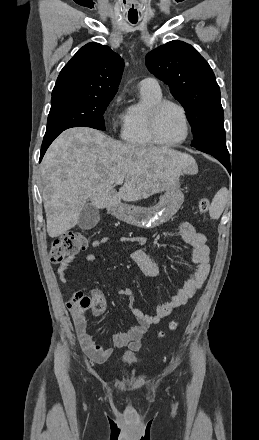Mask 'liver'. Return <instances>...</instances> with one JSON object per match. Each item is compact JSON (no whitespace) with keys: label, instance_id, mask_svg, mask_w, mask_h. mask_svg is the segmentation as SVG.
<instances>
[{"label":"liver","instance_id":"obj_1","mask_svg":"<svg viewBox=\"0 0 259 440\" xmlns=\"http://www.w3.org/2000/svg\"><path fill=\"white\" fill-rule=\"evenodd\" d=\"M197 172L193 157L168 147L124 144L104 133L75 127L51 144L41 163L47 233L55 238L73 228L90 200L97 209L133 202L176 185ZM124 177L117 192L114 183Z\"/></svg>","mask_w":259,"mask_h":440}]
</instances>
